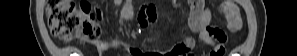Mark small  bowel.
<instances>
[{"label": "small bowel", "instance_id": "1", "mask_svg": "<svg viewBox=\"0 0 297 56\" xmlns=\"http://www.w3.org/2000/svg\"><path fill=\"white\" fill-rule=\"evenodd\" d=\"M114 3L121 6L120 14L125 21L132 19L134 11L131 0H114ZM189 6L191 10L189 25L192 31L198 33L201 40L213 47L212 52L218 50H222L224 52V43L227 40V35L223 30L210 26L212 18L210 9L205 7L202 1H190ZM226 19L228 28L232 31L234 24L233 16L231 14H227ZM155 20V8L151 5L143 7L138 16V22L140 26H147L149 23H153ZM192 46L193 40L188 38L180 45L175 46L164 54L145 53L143 56H192V54L189 52ZM107 47L108 46L106 44L98 47L99 53L102 54L107 49ZM128 50L133 56H141L137 49L129 48Z\"/></svg>", "mask_w": 297, "mask_h": 56}]
</instances>
